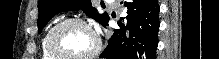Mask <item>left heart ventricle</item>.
Listing matches in <instances>:
<instances>
[{
  "mask_svg": "<svg viewBox=\"0 0 219 59\" xmlns=\"http://www.w3.org/2000/svg\"><path fill=\"white\" fill-rule=\"evenodd\" d=\"M95 45L91 32L84 26L71 24L59 31L56 46L64 55L80 56L90 52Z\"/></svg>",
  "mask_w": 219,
  "mask_h": 59,
  "instance_id": "left-heart-ventricle-1",
  "label": "left heart ventricle"
}]
</instances>
